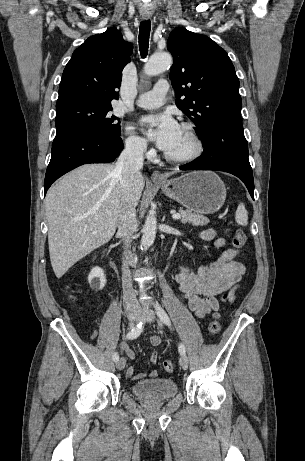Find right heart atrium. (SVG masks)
<instances>
[{
    "label": "right heart atrium",
    "mask_w": 305,
    "mask_h": 461,
    "mask_svg": "<svg viewBox=\"0 0 305 461\" xmlns=\"http://www.w3.org/2000/svg\"><path fill=\"white\" fill-rule=\"evenodd\" d=\"M125 133V147L129 153L140 157L148 152L147 141L143 137L137 135L132 127L126 126Z\"/></svg>",
    "instance_id": "right-heart-atrium-1"
}]
</instances>
